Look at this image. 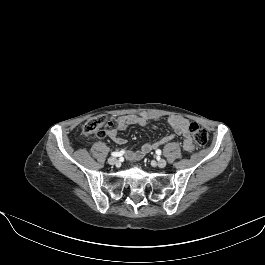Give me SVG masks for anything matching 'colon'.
Returning <instances> with one entry per match:
<instances>
[{
    "label": "colon",
    "instance_id": "1",
    "mask_svg": "<svg viewBox=\"0 0 265 265\" xmlns=\"http://www.w3.org/2000/svg\"><path fill=\"white\" fill-rule=\"evenodd\" d=\"M112 125L113 122L106 117H96L84 124L83 133L88 137H103L106 134V129ZM188 129L197 145H207L209 139L205 129L195 122L188 123Z\"/></svg>",
    "mask_w": 265,
    "mask_h": 265
}]
</instances>
